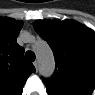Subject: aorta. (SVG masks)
<instances>
[{
	"label": "aorta",
	"instance_id": "1",
	"mask_svg": "<svg viewBox=\"0 0 95 95\" xmlns=\"http://www.w3.org/2000/svg\"><path fill=\"white\" fill-rule=\"evenodd\" d=\"M36 54L39 73L45 77H51L55 69L53 52L46 41H38L33 45Z\"/></svg>",
	"mask_w": 95,
	"mask_h": 95
}]
</instances>
